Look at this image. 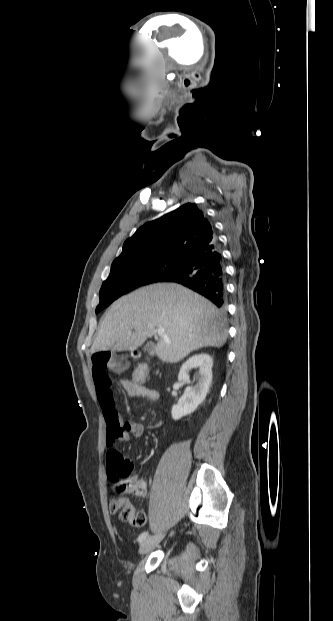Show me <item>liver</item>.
<instances>
[{"mask_svg": "<svg viewBox=\"0 0 333 621\" xmlns=\"http://www.w3.org/2000/svg\"><path fill=\"white\" fill-rule=\"evenodd\" d=\"M224 316L208 300L178 284L142 287L112 304L100 322L91 353L133 350L163 328L155 347L163 362L175 363L193 350L222 347L227 340Z\"/></svg>", "mask_w": 333, "mask_h": 621, "instance_id": "1", "label": "liver"}]
</instances>
